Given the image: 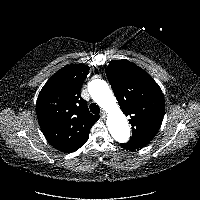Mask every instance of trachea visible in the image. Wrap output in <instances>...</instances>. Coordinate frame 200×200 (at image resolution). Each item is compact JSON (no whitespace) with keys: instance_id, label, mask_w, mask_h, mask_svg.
Instances as JSON below:
<instances>
[{"instance_id":"trachea-1","label":"trachea","mask_w":200,"mask_h":200,"mask_svg":"<svg viewBox=\"0 0 200 200\" xmlns=\"http://www.w3.org/2000/svg\"><path fill=\"white\" fill-rule=\"evenodd\" d=\"M90 111L93 113V114H96L98 115L100 113V108L97 104L95 103H92L90 104Z\"/></svg>"}]
</instances>
